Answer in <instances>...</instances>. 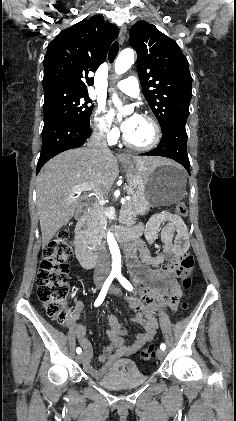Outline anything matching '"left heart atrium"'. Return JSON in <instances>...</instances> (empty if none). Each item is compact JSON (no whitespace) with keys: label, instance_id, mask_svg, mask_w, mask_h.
I'll use <instances>...</instances> for the list:
<instances>
[{"label":"left heart atrium","instance_id":"obj_1","mask_svg":"<svg viewBox=\"0 0 236 421\" xmlns=\"http://www.w3.org/2000/svg\"><path fill=\"white\" fill-rule=\"evenodd\" d=\"M138 115H133V117H130L129 119L125 120L124 122H122L121 127L122 129L127 132L130 127L133 124L134 119L137 117Z\"/></svg>","mask_w":236,"mask_h":421}]
</instances>
